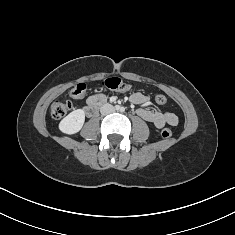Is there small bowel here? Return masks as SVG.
Wrapping results in <instances>:
<instances>
[{
  "label": "small bowel",
  "mask_w": 235,
  "mask_h": 235,
  "mask_svg": "<svg viewBox=\"0 0 235 235\" xmlns=\"http://www.w3.org/2000/svg\"><path fill=\"white\" fill-rule=\"evenodd\" d=\"M134 104L140 105L137 109V114L144 120L153 123L157 128H163L165 125L176 126L178 124V117L175 113L170 111H157L146 107L149 104V98L141 93H133L130 97ZM106 97L103 94H93L86 100L87 106L96 103H104Z\"/></svg>",
  "instance_id": "1"
}]
</instances>
